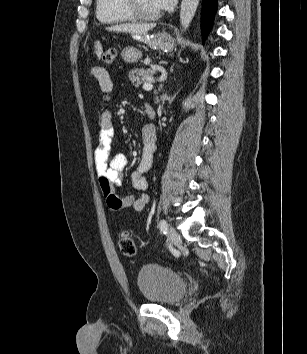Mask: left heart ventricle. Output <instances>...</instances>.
I'll use <instances>...</instances> for the list:
<instances>
[{
	"label": "left heart ventricle",
	"mask_w": 307,
	"mask_h": 354,
	"mask_svg": "<svg viewBox=\"0 0 307 354\" xmlns=\"http://www.w3.org/2000/svg\"><path fill=\"white\" fill-rule=\"evenodd\" d=\"M137 3L139 8L145 13L153 14L160 11L155 0H137Z\"/></svg>",
	"instance_id": "1"
}]
</instances>
